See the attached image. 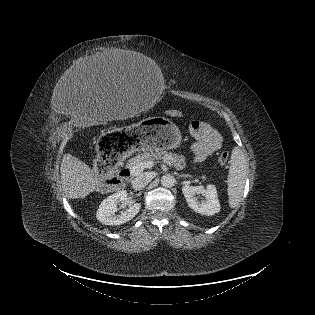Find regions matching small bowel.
<instances>
[{
	"mask_svg": "<svg viewBox=\"0 0 315 315\" xmlns=\"http://www.w3.org/2000/svg\"><path fill=\"white\" fill-rule=\"evenodd\" d=\"M190 133L195 139L191 146L194 163L203 162L222 146L220 134L207 121H193L190 125Z\"/></svg>",
	"mask_w": 315,
	"mask_h": 315,
	"instance_id": "1",
	"label": "small bowel"
}]
</instances>
